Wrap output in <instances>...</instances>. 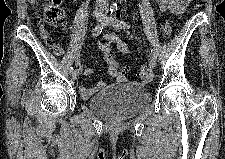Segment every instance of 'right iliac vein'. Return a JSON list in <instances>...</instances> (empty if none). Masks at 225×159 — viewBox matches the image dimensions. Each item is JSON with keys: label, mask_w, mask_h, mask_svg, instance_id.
Segmentation results:
<instances>
[{"label": "right iliac vein", "mask_w": 225, "mask_h": 159, "mask_svg": "<svg viewBox=\"0 0 225 159\" xmlns=\"http://www.w3.org/2000/svg\"><path fill=\"white\" fill-rule=\"evenodd\" d=\"M94 17H95V19H96L97 21H101L102 18H103L102 11H101V10H96V11H95V14H94ZM78 76H79L78 70H73V71L71 72V77H72L73 80H76V79L78 78Z\"/></svg>", "instance_id": "obj_1"}]
</instances>
